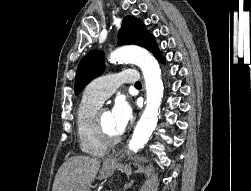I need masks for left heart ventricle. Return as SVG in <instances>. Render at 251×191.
Segmentation results:
<instances>
[{
  "label": "left heart ventricle",
  "mask_w": 251,
  "mask_h": 191,
  "mask_svg": "<svg viewBox=\"0 0 251 191\" xmlns=\"http://www.w3.org/2000/svg\"><path fill=\"white\" fill-rule=\"evenodd\" d=\"M100 120L105 128V130L111 135H117L111 128L110 115L106 110H102L99 114Z\"/></svg>",
  "instance_id": "obj_1"
}]
</instances>
